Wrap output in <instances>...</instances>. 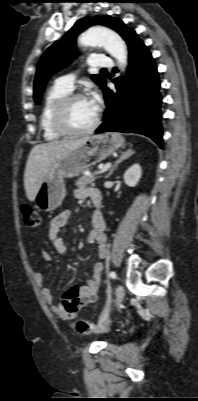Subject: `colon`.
<instances>
[{
  "label": "colon",
  "mask_w": 198,
  "mask_h": 401,
  "mask_svg": "<svg viewBox=\"0 0 198 401\" xmlns=\"http://www.w3.org/2000/svg\"><path fill=\"white\" fill-rule=\"evenodd\" d=\"M22 212L27 227L35 228L39 226L40 216L35 209H33L30 206H24ZM73 296H74V291L72 288L69 292L66 293L65 300L63 302V307L69 312H74L76 310V306L70 302ZM87 323H93V322L90 319L85 318V319H80L77 322V325L79 326Z\"/></svg>",
  "instance_id": "5ec220e1"
}]
</instances>
